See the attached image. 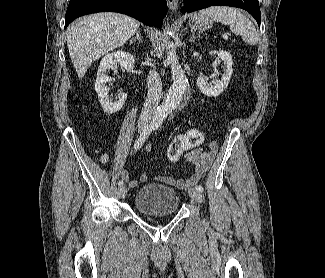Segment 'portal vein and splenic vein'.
Listing matches in <instances>:
<instances>
[{"label":"portal vein and splenic vein","mask_w":325,"mask_h":278,"mask_svg":"<svg viewBox=\"0 0 325 278\" xmlns=\"http://www.w3.org/2000/svg\"><path fill=\"white\" fill-rule=\"evenodd\" d=\"M228 37L227 36H224V39H227Z\"/></svg>","instance_id":"18ae733b"}]
</instances>
